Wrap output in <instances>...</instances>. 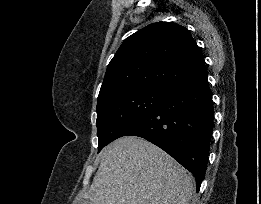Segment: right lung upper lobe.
<instances>
[{
  "label": "right lung upper lobe",
  "mask_w": 261,
  "mask_h": 204,
  "mask_svg": "<svg viewBox=\"0 0 261 204\" xmlns=\"http://www.w3.org/2000/svg\"><path fill=\"white\" fill-rule=\"evenodd\" d=\"M190 32L172 22H157L126 38L110 61L98 100L121 90L165 92L204 65Z\"/></svg>",
  "instance_id": "right-lung-upper-lobe-1"
}]
</instances>
